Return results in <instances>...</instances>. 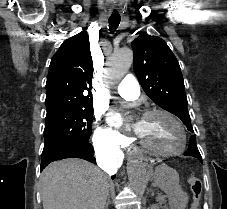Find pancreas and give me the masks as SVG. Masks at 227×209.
Wrapping results in <instances>:
<instances>
[{"label":"pancreas","mask_w":227,"mask_h":209,"mask_svg":"<svg viewBox=\"0 0 227 209\" xmlns=\"http://www.w3.org/2000/svg\"><path fill=\"white\" fill-rule=\"evenodd\" d=\"M161 202V204H160V207H161V209H168L166 206V204L165 203H167L168 201L167 200H165V197H162V200L160 201Z\"/></svg>","instance_id":"cf45deb5"}]
</instances>
